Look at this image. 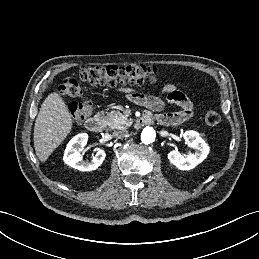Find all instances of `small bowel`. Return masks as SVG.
Segmentation results:
<instances>
[{"label":"small bowel","mask_w":259,"mask_h":259,"mask_svg":"<svg viewBox=\"0 0 259 259\" xmlns=\"http://www.w3.org/2000/svg\"><path fill=\"white\" fill-rule=\"evenodd\" d=\"M162 91L167 94V102L179 106L181 110L156 114L155 119L160 124L176 125L192 117L193 104L185 93L173 84H166ZM123 92L129 101L137 105L145 106L152 111L160 112L165 106L164 101L156 96L138 93L131 89H123Z\"/></svg>","instance_id":"obj_1"}]
</instances>
